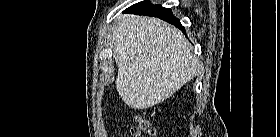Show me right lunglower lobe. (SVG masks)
I'll return each mask as SVG.
<instances>
[{"label": "right lung lower lobe", "instance_id": "right-lung-lower-lobe-1", "mask_svg": "<svg viewBox=\"0 0 280 137\" xmlns=\"http://www.w3.org/2000/svg\"><path fill=\"white\" fill-rule=\"evenodd\" d=\"M124 12L158 17L164 21H167L168 23L173 24L185 33V29L181 25L180 20L172 14L170 9L164 8L161 5H153L149 1H142L130 6Z\"/></svg>", "mask_w": 280, "mask_h": 137}]
</instances>
